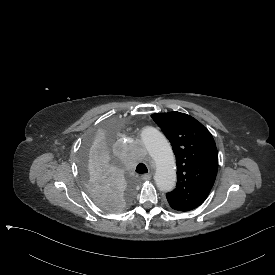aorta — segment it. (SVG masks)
<instances>
[{
    "label": "aorta",
    "instance_id": "aorta-1",
    "mask_svg": "<svg viewBox=\"0 0 275 275\" xmlns=\"http://www.w3.org/2000/svg\"><path fill=\"white\" fill-rule=\"evenodd\" d=\"M140 137L146 147L150 163L157 168L154 181L157 189L163 193L172 192L176 186V170L172 149L163 133L153 127L144 126Z\"/></svg>",
    "mask_w": 275,
    "mask_h": 275
}]
</instances>
